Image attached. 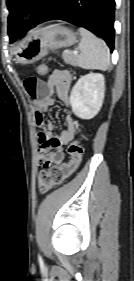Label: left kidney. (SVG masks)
Segmentation results:
<instances>
[{
	"label": "left kidney",
	"instance_id": "1",
	"mask_svg": "<svg viewBox=\"0 0 134 281\" xmlns=\"http://www.w3.org/2000/svg\"><path fill=\"white\" fill-rule=\"evenodd\" d=\"M105 93V79L100 73L80 77L70 95L73 113L81 119H92L100 111Z\"/></svg>",
	"mask_w": 134,
	"mask_h": 281
}]
</instances>
